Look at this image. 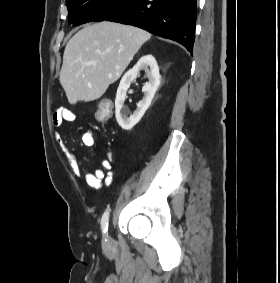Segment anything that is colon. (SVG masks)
I'll use <instances>...</instances> for the list:
<instances>
[{
  "instance_id": "1",
  "label": "colon",
  "mask_w": 280,
  "mask_h": 283,
  "mask_svg": "<svg viewBox=\"0 0 280 283\" xmlns=\"http://www.w3.org/2000/svg\"><path fill=\"white\" fill-rule=\"evenodd\" d=\"M112 112H115V107H111V102L103 100L99 104V109L94 112L95 119L101 120L102 124L106 123V120H111Z\"/></svg>"
}]
</instances>
